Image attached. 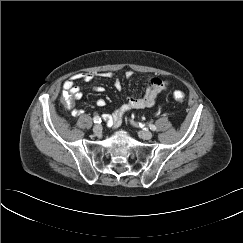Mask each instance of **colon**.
<instances>
[{"label": "colon", "instance_id": "colon-1", "mask_svg": "<svg viewBox=\"0 0 243 243\" xmlns=\"http://www.w3.org/2000/svg\"><path fill=\"white\" fill-rule=\"evenodd\" d=\"M173 97L177 101H183L184 98H185V94L180 90H176L173 93ZM64 102H65L66 106L69 108L73 104V99L69 94H65L64 95Z\"/></svg>", "mask_w": 243, "mask_h": 243}]
</instances>
